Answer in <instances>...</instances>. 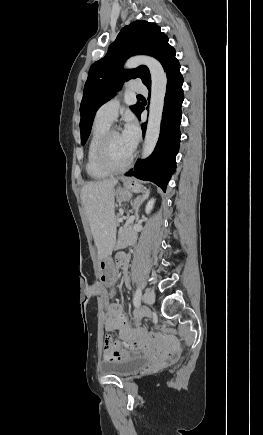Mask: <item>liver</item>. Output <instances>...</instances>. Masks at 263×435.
I'll return each mask as SVG.
<instances>
[{
	"instance_id": "6515ba94",
	"label": "liver",
	"mask_w": 263,
	"mask_h": 435,
	"mask_svg": "<svg viewBox=\"0 0 263 435\" xmlns=\"http://www.w3.org/2000/svg\"><path fill=\"white\" fill-rule=\"evenodd\" d=\"M117 183V178L89 182L81 191L82 204L101 260L111 254L115 244L114 187Z\"/></svg>"
}]
</instances>
